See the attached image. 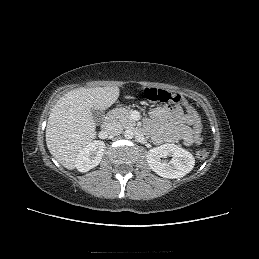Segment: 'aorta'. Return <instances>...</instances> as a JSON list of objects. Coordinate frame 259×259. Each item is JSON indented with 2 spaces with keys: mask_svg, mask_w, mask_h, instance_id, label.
<instances>
[{
  "mask_svg": "<svg viewBox=\"0 0 259 259\" xmlns=\"http://www.w3.org/2000/svg\"><path fill=\"white\" fill-rule=\"evenodd\" d=\"M126 139H132L134 136V132L132 129H127L124 133Z\"/></svg>",
  "mask_w": 259,
  "mask_h": 259,
  "instance_id": "aorta-1",
  "label": "aorta"
}]
</instances>
